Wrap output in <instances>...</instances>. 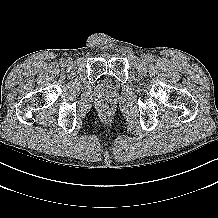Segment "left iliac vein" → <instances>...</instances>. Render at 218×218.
Wrapping results in <instances>:
<instances>
[{
  "label": "left iliac vein",
  "instance_id": "obj_1",
  "mask_svg": "<svg viewBox=\"0 0 218 218\" xmlns=\"http://www.w3.org/2000/svg\"><path fill=\"white\" fill-rule=\"evenodd\" d=\"M148 56L147 55H142L141 56V61L143 62V63H146V62H148Z\"/></svg>",
  "mask_w": 218,
  "mask_h": 218
}]
</instances>
